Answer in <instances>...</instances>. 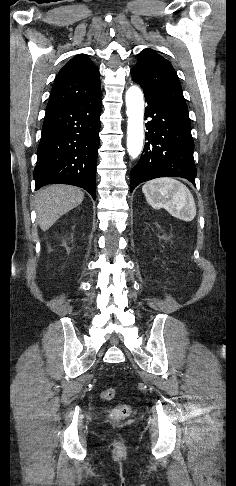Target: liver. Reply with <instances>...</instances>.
I'll return each instance as SVG.
<instances>
[{"label":"liver","instance_id":"obj_1","mask_svg":"<svg viewBox=\"0 0 236 486\" xmlns=\"http://www.w3.org/2000/svg\"><path fill=\"white\" fill-rule=\"evenodd\" d=\"M84 193L69 185H50L35 196V207L40 228L48 230L62 215L81 204Z\"/></svg>","mask_w":236,"mask_h":486}]
</instances>
